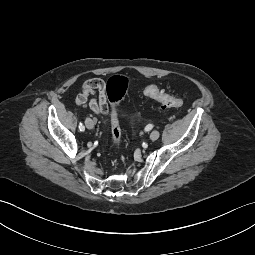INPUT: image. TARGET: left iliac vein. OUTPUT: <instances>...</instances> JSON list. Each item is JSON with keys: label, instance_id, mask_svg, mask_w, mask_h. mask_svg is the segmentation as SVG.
<instances>
[{"label": "left iliac vein", "instance_id": "1", "mask_svg": "<svg viewBox=\"0 0 255 255\" xmlns=\"http://www.w3.org/2000/svg\"><path fill=\"white\" fill-rule=\"evenodd\" d=\"M159 136H160L159 131L154 130V131H152L151 134H150V139H151V140H157V139L159 138Z\"/></svg>", "mask_w": 255, "mask_h": 255}]
</instances>
